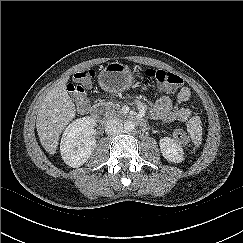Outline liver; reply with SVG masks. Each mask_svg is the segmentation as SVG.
<instances>
[{
    "instance_id": "6515ba94",
    "label": "liver",
    "mask_w": 243,
    "mask_h": 243,
    "mask_svg": "<svg viewBox=\"0 0 243 243\" xmlns=\"http://www.w3.org/2000/svg\"><path fill=\"white\" fill-rule=\"evenodd\" d=\"M68 79H62L43 98L36 120V129L41 145L54 155L62 130L75 117V105L66 90Z\"/></svg>"
}]
</instances>
